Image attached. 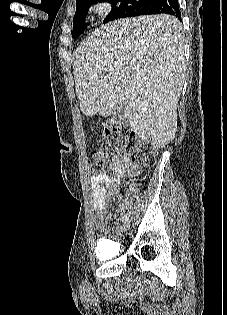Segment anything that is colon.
<instances>
[{
    "mask_svg": "<svg viewBox=\"0 0 227 315\" xmlns=\"http://www.w3.org/2000/svg\"><path fill=\"white\" fill-rule=\"evenodd\" d=\"M104 139L109 151L120 147L129 154L134 161L144 165H152L157 157V150L147 141L141 139L130 128L122 125H112L105 128ZM109 161L105 153L97 151L91 160V170L94 173H102L108 169Z\"/></svg>",
    "mask_w": 227,
    "mask_h": 315,
    "instance_id": "1",
    "label": "colon"
}]
</instances>
